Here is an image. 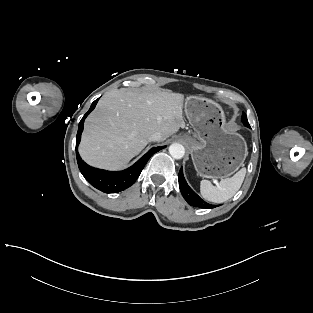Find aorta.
I'll return each instance as SVG.
<instances>
[{"label": "aorta", "mask_w": 313, "mask_h": 313, "mask_svg": "<svg viewBox=\"0 0 313 313\" xmlns=\"http://www.w3.org/2000/svg\"><path fill=\"white\" fill-rule=\"evenodd\" d=\"M169 153L173 158L181 159L185 154V148L179 143H173L169 146Z\"/></svg>", "instance_id": "1"}]
</instances>
